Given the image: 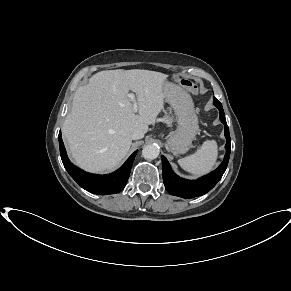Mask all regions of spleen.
I'll return each instance as SVG.
<instances>
[{"mask_svg":"<svg viewBox=\"0 0 291 291\" xmlns=\"http://www.w3.org/2000/svg\"><path fill=\"white\" fill-rule=\"evenodd\" d=\"M218 156L216 141L207 140L194 154L178 160L185 171L194 175H204L212 170Z\"/></svg>","mask_w":291,"mask_h":291,"instance_id":"3e777b00","label":"spleen"}]
</instances>
